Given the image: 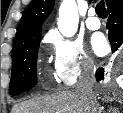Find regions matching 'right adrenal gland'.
Instances as JSON below:
<instances>
[{
  "label": "right adrenal gland",
  "mask_w": 123,
  "mask_h": 113,
  "mask_svg": "<svg viewBox=\"0 0 123 113\" xmlns=\"http://www.w3.org/2000/svg\"><path fill=\"white\" fill-rule=\"evenodd\" d=\"M110 111H111V110H110ZM99 113H105L104 107H101V108L99 109Z\"/></svg>",
  "instance_id": "obj_1"
}]
</instances>
